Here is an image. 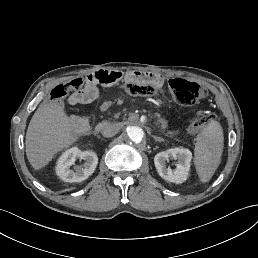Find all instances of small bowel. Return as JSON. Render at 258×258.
Returning a JSON list of instances; mask_svg holds the SVG:
<instances>
[{
	"instance_id": "obj_1",
	"label": "small bowel",
	"mask_w": 258,
	"mask_h": 258,
	"mask_svg": "<svg viewBox=\"0 0 258 258\" xmlns=\"http://www.w3.org/2000/svg\"><path fill=\"white\" fill-rule=\"evenodd\" d=\"M97 90L95 87L87 85L84 90L79 91L70 97V102L75 103H86L95 98Z\"/></svg>"
}]
</instances>
